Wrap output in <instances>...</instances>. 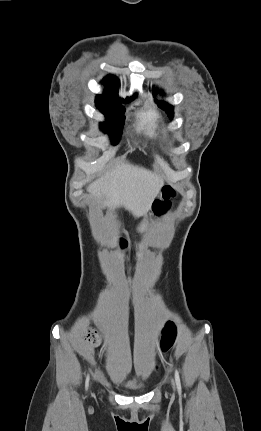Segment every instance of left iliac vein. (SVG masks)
I'll return each mask as SVG.
<instances>
[{
  "instance_id": "1",
  "label": "left iliac vein",
  "mask_w": 261,
  "mask_h": 431,
  "mask_svg": "<svg viewBox=\"0 0 261 431\" xmlns=\"http://www.w3.org/2000/svg\"><path fill=\"white\" fill-rule=\"evenodd\" d=\"M171 383H172V386H173V388H174V387H175V384H174L173 379L171 380Z\"/></svg>"
}]
</instances>
